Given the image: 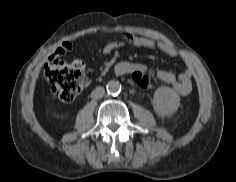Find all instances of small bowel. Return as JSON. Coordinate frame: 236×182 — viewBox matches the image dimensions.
<instances>
[{
	"label": "small bowel",
	"instance_id": "1",
	"mask_svg": "<svg viewBox=\"0 0 236 182\" xmlns=\"http://www.w3.org/2000/svg\"><path fill=\"white\" fill-rule=\"evenodd\" d=\"M125 46H136L147 48L150 50H159L171 57L180 56V53L175 47L164 41L156 42L147 37L137 36L133 33H125L124 36L120 40L110 41L106 43L103 47V51L105 53H110L117 49L123 48ZM73 49V45L71 42L62 43L57 50L55 51V56H62L69 53ZM132 69L147 71L146 66L141 64H136L132 67ZM153 73V72H152ZM192 76L193 71L190 68H187L184 72L179 75H175L172 72L159 70L156 72V77L170 85L173 90L181 96H187L192 91Z\"/></svg>",
	"mask_w": 236,
	"mask_h": 182
}]
</instances>
